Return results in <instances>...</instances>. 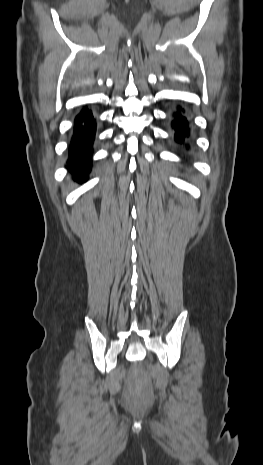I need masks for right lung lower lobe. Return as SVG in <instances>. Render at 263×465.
Instances as JSON below:
<instances>
[{"mask_svg":"<svg viewBox=\"0 0 263 465\" xmlns=\"http://www.w3.org/2000/svg\"><path fill=\"white\" fill-rule=\"evenodd\" d=\"M95 130L96 122L92 112L88 108L83 109L75 119L67 163L68 169L78 181L88 179Z\"/></svg>","mask_w":263,"mask_h":465,"instance_id":"obj_1","label":"right lung lower lobe"}]
</instances>
